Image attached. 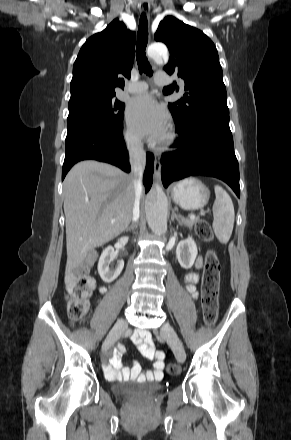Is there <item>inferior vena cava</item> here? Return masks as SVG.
Masks as SVG:
<instances>
[{
	"label": "inferior vena cava",
	"instance_id": "obj_1",
	"mask_svg": "<svg viewBox=\"0 0 291 440\" xmlns=\"http://www.w3.org/2000/svg\"><path fill=\"white\" fill-rule=\"evenodd\" d=\"M130 157L131 175L135 187V202L133 206L132 220L137 222L140 215V197L143 191V173L145 169L146 157L143 150V144L138 138L132 139L128 144Z\"/></svg>",
	"mask_w": 291,
	"mask_h": 440
}]
</instances>
